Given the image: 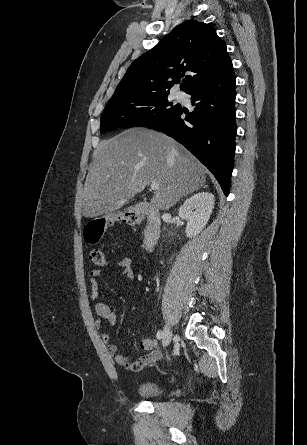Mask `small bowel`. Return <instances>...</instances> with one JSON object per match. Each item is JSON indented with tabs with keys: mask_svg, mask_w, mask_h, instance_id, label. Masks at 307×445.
<instances>
[{
	"mask_svg": "<svg viewBox=\"0 0 307 445\" xmlns=\"http://www.w3.org/2000/svg\"><path fill=\"white\" fill-rule=\"evenodd\" d=\"M110 272H119L121 275L127 277L129 280H133L135 277L132 267V261L129 257L121 258L117 262L116 267L112 268ZM100 274L101 271L96 269L92 270L89 275L91 284V295L92 299L94 300V310L98 316V319L96 320V325L98 327L102 324V321H108L110 323H115L117 321V313L115 309L99 299L98 279L100 277ZM101 338L107 345V351L111 356L114 357L115 362L134 372L140 371L146 366L153 364L161 356V352L157 346V341L154 339H147V342L141 343V347L144 350H147L148 353L133 362L130 356L119 353L118 346L116 344L110 343V337L107 333H102Z\"/></svg>",
	"mask_w": 307,
	"mask_h": 445,
	"instance_id": "c3829d8e",
	"label": "small bowel"
}]
</instances>
